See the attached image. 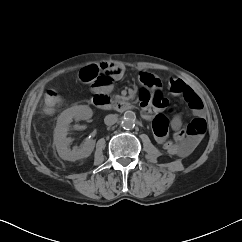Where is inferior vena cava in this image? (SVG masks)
Listing matches in <instances>:
<instances>
[{
    "label": "inferior vena cava",
    "mask_w": 242,
    "mask_h": 242,
    "mask_svg": "<svg viewBox=\"0 0 242 242\" xmlns=\"http://www.w3.org/2000/svg\"><path fill=\"white\" fill-rule=\"evenodd\" d=\"M118 120V116L116 114H109L105 116L104 123L108 126L114 125Z\"/></svg>",
    "instance_id": "obj_1"
}]
</instances>
